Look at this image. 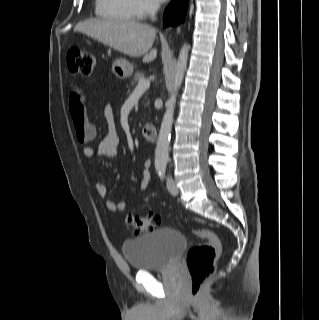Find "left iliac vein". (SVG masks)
Listing matches in <instances>:
<instances>
[{
    "label": "left iliac vein",
    "instance_id": "1",
    "mask_svg": "<svg viewBox=\"0 0 319 320\" xmlns=\"http://www.w3.org/2000/svg\"><path fill=\"white\" fill-rule=\"evenodd\" d=\"M167 188L173 195H177L179 193V188L177 187L175 181L171 178L167 180Z\"/></svg>",
    "mask_w": 319,
    "mask_h": 320
}]
</instances>
